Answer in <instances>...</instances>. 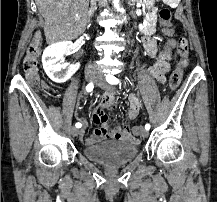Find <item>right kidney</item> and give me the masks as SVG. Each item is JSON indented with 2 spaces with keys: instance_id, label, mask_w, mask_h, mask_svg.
Listing matches in <instances>:
<instances>
[{
  "instance_id": "obj_1",
  "label": "right kidney",
  "mask_w": 217,
  "mask_h": 202,
  "mask_svg": "<svg viewBox=\"0 0 217 202\" xmlns=\"http://www.w3.org/2000/svg\"><path fill=\"white\" fill-rule=\"evenodd\" d=\"M72 48V42H57L45 48L42 56L43 68L53 82H66L76 72V66L63 64L62 58Z\"/></svg>"
}]
</instances>
